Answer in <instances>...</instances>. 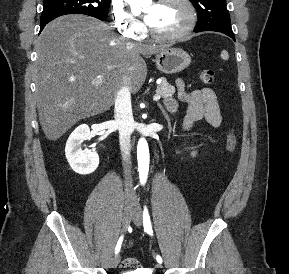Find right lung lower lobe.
Here are the masks:
<instances>
[{"label": "right lung lower lobe", "mask_w": 289, "mask_h": 274, "mask_svg": "<svg viewBox=\"0 0 289 274\" xmlns=\"http://www.w3.org/2000/svg\"><path fill=\"white\" fill-rule=\"evenodd\" d=\"M57 17H59V16H54V17H49V18L42 19L41 22H40V32L43 30V28L45 27V25L47 23H49L50 21H52L53 19H55Z\"/></svg>", "instance_id": "1"}]
</instances>
